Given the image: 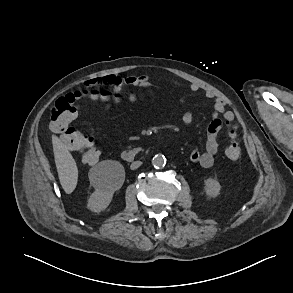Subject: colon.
Segmentation results:
<instances>
[{
    "label": "colon",
    "mask_w": 293,
    "mask_h": 293,
    "mask_svg": "<svg viewBox=\"0 0 293 293\" xmlns=\"http://www.w3.org/2000/svg\"><path fill=\"white\" fill-rule=\"evenodd\" d=\"M90 94L93 99L107 100L112 93L107 89H95L91 92L75 91L60 97L51 109V128L59 134L61 140L67 147L80 153L82 162L87 165L97 163L100 149L94 139L83 134L71 125L72 120L78 114L77 101L84 95ZM229 141L225 147V155L230 160H237L240 157V145L236 140L235 128L228 130Z\"/></svg>",
    "instance_id": "5ec220e1"
}]
</instances>
